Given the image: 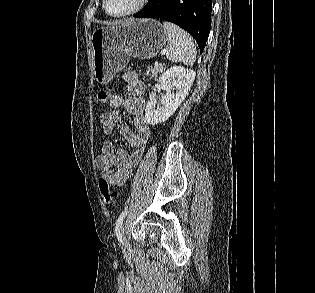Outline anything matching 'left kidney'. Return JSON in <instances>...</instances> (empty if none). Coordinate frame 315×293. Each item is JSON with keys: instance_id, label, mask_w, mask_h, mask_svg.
<instances>
[{"instance_id": "5707ae66", "label": "left kidney", "mask_w": 315, "mask_h": 293, "mask_svg": "<svg viewBox=\"0 0 315 293\" xmlns=\"http://www.w3.org/2000/svg\"><path fill=\"white\" fill-rule=\"evenodd\" d=\"M195 76L193 70L181 66L171 67L160 76V86L166 94L157 108L155 101H148L145 109L148 124L156 125L165 122L174 114L188 95ZM172 90L175 92L171 93Z\"/></svg>"}]
</instances>
